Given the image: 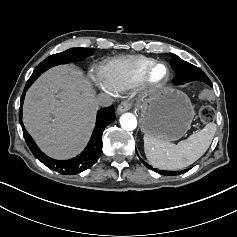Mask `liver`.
Masks as SVG:
<instances>
[{
	"instance_id": "6515ba94",
	"label": "liver",
	"mask_w": 237,
	"mask_h": 237,
	"mask_svg": "<svg viewBox=\"0 0 237 237\" xmlns=\"http://www.w3.org/2000/svg\"><path fill=\"white\" fill-rule=\"evenodd\" d=\"M96 92L73 65L54 67L28 89L23 123L41 150L55 159L79 154L92 133Z\"/></svg>"
}]
</instances>
